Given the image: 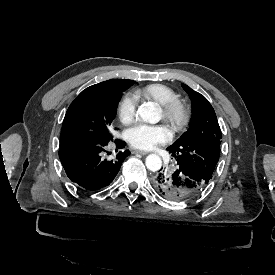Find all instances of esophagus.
Listing matches in <instances>:
<instances>
[{
  "label": "esophagus",
  "mask_w": 275,
  "mask_h": 275,
  "mask_svg": "<svg viewBox=\"0 0 275 275\" xmlns=\"http://www.w3.org/2000/svg\"><path fill=\"white\" fill-rule=\"evenodd\" d=\"M132 153L133 154H140V155H146V154H148L147 151H143V150H134Z\"/></svg>",
  "instance_id": "1"
}]
</instances>
